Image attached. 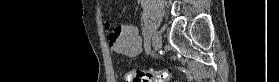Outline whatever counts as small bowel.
Returning <instances> with one entry per match:
<instances>
[{"instance_id": "obj_1", "label": "small bowel", "mask_w": 279, "mask_h": 82, "mask_svg": "<svg viewBox=\"0 0 279 82\" xmlns=\"http://www.w3.org/2000/svg\"><path fill=\"white\" fill-rule=\"evenodd\" d=\"M102 26L106 30L111 28L107 21ZM108 44L116 54L126 57L137 56L141 51V39L132 24L114 27L109 33Z\"/></svg>"}]
</instances>
